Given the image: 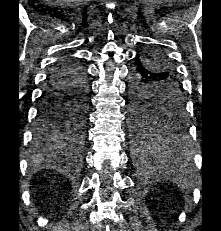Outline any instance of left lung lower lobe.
<instances>
[{
  "label": "left lung lower lobe",
  "instance_id": "1",
  "mask_svg": "<svg viewBox=\"0 0 221 231\" xmlns=\"http://www.w3.org/2000/svg\"><path fill=\"white\" fill-rule=\"evenodd\" d=\"M145 62H147V60L144 58L136 57L130 73V112L149 104L146 100L147 97L143 94H156L163 88V86L157 82V80L163 76L150 71L145 65ZM154 97L151 102L157 103V97L159 96ZM173 127L176 129L174 128L173 131H171V135L160 134L146 142H135L142 150H146L147 153L149 151V153L154 152L157 154L156 159L160 163L167 161L178 162L188 153L185 123L180 121L175 123Z\"/></svg>",
  "mask_w": 221,
  "mask_h": 231
}]
</instances>
